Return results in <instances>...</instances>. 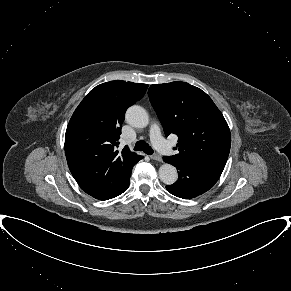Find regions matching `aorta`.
<instances>
[{
    "label": "aorta",
    "mask_w": 291,
    "mask_h": 291,
    "mask_svg": "<svg viewBox=\"0 0 291 291\" xmlns=\"http://www.w3.org/2000/svg\"><path fill=\"white\" fill-rule=\"evenodd\" d=\"M126 121L136 128H144L149 123V116L146 110L138 105H133L127 109ZM160 180L167 184H174L178 178L177 170L170 164H163L159 168Z\"/></svg>",
    "instance_id": "762f6f07"
}]
</instances>
